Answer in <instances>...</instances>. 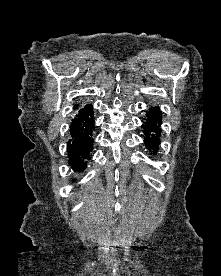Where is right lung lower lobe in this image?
<instances>
[{"instance_id": "obj_1", "label": "right lung lower lobe", "mask_w": 221, "mask_h": 276, "mask_svg": "<svg viewBox=\"0 0 221 276\" xmlns=\"http://www.w3.org/2000/svg\"><path fill=\"white\" fill-rule=\"evenodd\" d=\"M93 106L85 105L79 109L70 125V140L67 143L69 165L73 171H83L91 158L93 147Z\"/></svg>"}]
</instances>
